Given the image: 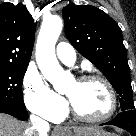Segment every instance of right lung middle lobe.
<instances>
[{
  "mask_svg": "<svg viewBox=\"0 0 136 136\" xmlns=\"http://www.w3.org/2000/svg\"><path fill=\"white\" fill-rule=\"evenodd\" d=\"M28 65H0V107L25 109L22 82Z\"/></svg>",
  "mask_w": 136,
  "mask_h": 136,
  "instance_id": "obj_1",
  "label": "right lung middle lobe"
}]
</instances>
